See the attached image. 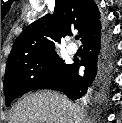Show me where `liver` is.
<instances>
[{"label":"liver","mask_w":122,"mask_h":123,"mask_svg":"<svg viewBox=\"0 0 122 123\" xmlns=\"http://www.w3.org/2000/svg\"><path fill=\"white\" fill-rule=\"evenodd\" d=\"M82 108L58 92L38 91L13 108L9 123H86Z\"/></svg>","instance_id":"liver-1"}]
</instances>
